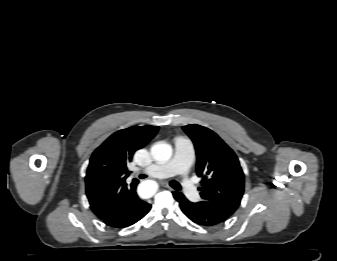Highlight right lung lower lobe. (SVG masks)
Returning a JSON list of instances; mask_svg holds the SVG:
<instances>
[{"mask_svg":"<svg viewBox=\"0 0 337 261\" xmlns=\"http://www.w3.org/2000/svg\"><path fill=\"white\" fill-rule=\"evenodd\" d=\"M135 189L136 187L131 188L119 202L118 207L102 219L106 225L112 228H125L136 223L149 212L151 205L140 200Z\"/></svg>","mask_w":337,"mask_h":261,"instance_id":"98d812e1","label":"right lung lower lobe"}]
</instances>
